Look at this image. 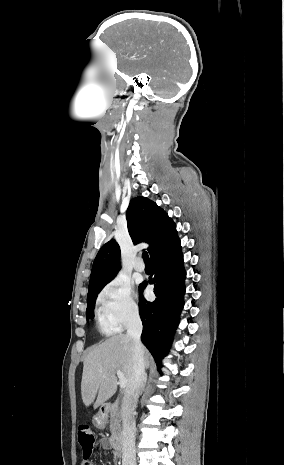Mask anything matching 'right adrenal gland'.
I'll list each match as a JSON object with an SVG mask.
<instances>
[{"label": "right adrenal gland", "mask_w": 284, "mask_h": 465, "mask_svg": "<svg viewBox=\"0 0 284 465\" xmlns=\"http://www.w3.org/2000/svg\"><path fill=\"white\" fill-rule=\"evenodd\" d=\"M147 379H148V373H145V375H144V381H143V387H142V389H141L140 395H142V393H144V391H145Z\"/></svg>", "instance_id": "right-adrenal-gland-1"}]
</instances>
